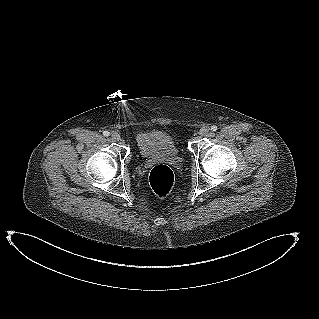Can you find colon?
Wrapping results in <instances>:
<instances>
[{
	"mask_svg": "<svg viewBox=\"0 0 319 319\" xmlns=\"http://www.w3.org/2000/svg\"><path fill=\"white\" fill-rule=\"evenodd\" d=\"M149 183L153 192L159 197L167 196L174 185V173L167 165H156L149 174Z\"/></svg>",
	"mask_w": 319,
	"mask_h": 319,
	"instance_id": "obj_1",
	"label": "colon"
}]
</instances>
